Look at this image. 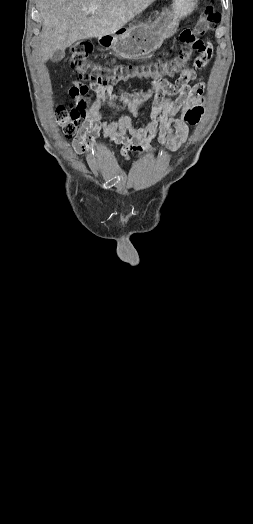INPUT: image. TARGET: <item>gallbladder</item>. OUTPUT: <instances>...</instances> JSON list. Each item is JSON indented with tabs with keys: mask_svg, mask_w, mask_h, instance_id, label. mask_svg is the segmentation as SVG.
I'll use <instances>...</instances> for the list:
<instances>
[{
	"mask_svg": "<svg viewBox=\"0 0 253 524\" xmlns=\"http://www.w3.org/2000/svg\"><path fill=\"white\" fill-rule=\"evenodd\" d=\"M65 56V51L63 49H58L55 51L53 56L51 57V60L53 62H60Z\"/></svg>",
	"mask_w": 253,
	"mask_h": 524,
	"instance_id": "1",
	"label": "gallbladder"
}]
</instances>
